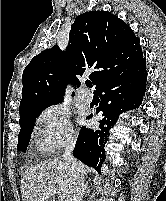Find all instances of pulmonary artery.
<instances>
[{
    "instance_id": "obj_1",
    "label": "pulmonary artery",
    "mask_w": 166,
    "mask_h": 201,
    "mask_svg": "<svg viewBox=\"0 0 166 201\" xmlns=\"http://www.w3.org/2000/svg\"><path fill=\"white\" fill-rule=\"evenodd\" d=\"M79 98L81 99V101L85 103H90L93 99V95L89 89H87L86 87H83L79 91Z\"/></svg>"
}]
</instances>
